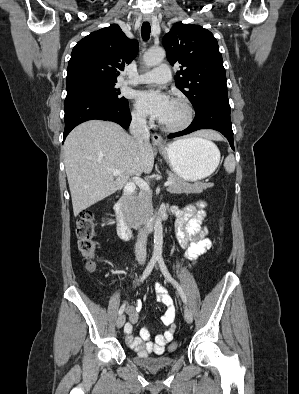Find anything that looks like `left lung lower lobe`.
I'll list each match as a JSON object with an SVG mask.
<instances>
[{
	"label": "left lung lower lobe",
	"instance_id": "1",
	"mask_svg": "<svg viewBox=\"0 0 299 394\" xmlns=\"http://www.w3.org/2000/svg\"><path fill=\"white\" fill-rule=\"evenodd\" d=\"M195 109V118L183 131L171 133L168 138L179 137L199 129H214L221 132L234 150L233 131L230 119V105L227 94L208 96Z\"/></svg>",
	"mask_w": 299,
	"mask_h": 394
}]
</instances>
